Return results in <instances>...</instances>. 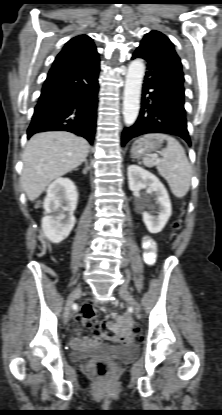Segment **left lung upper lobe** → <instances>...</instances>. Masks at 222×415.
I'll list each match as a JSON object with an SVG mask.
<instances>
[{
  "label": "left lung upper lobe",
  "mask_w": 222,
  "mask_h": 415,
  "mask_svg": "<svg viewBox=\"0 0 222 415\" xmlns=\"http://www.w3.org/2000/svg\"><path fill=\"white\" fill-rule=\"evenodd\" d=\"M144 39H157L160 41H163L165 43H167L169 46L173 47V44L171 43V41L161 32L159 31H151L148 34L145 35Z\"/></svg>",
  "instance_id": "5c2ea615"
}]
</instances>
